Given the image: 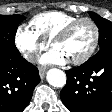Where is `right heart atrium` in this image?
I'll list each match as a JSON object with an SVG mask.
<instances>
[{"label": "right heart atrium", "mask_w": 112, "mask_h": 112, "mask_svg": "<svg viewBox=\"0 0 112 112\" xmlns=\"http://www.w3.org/2000/svg\"><path fill=\"white\" fill-rule=\"evenodd\" d=\"M14 43L23 58L29 62L34 61L48 47V43L28 25H20L16 29Z\"/></svg>", "instance_id": "right-heart-atrium-1"}]
</instances>
